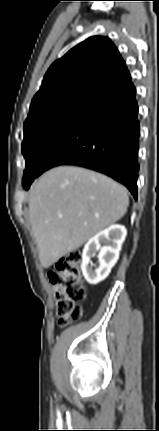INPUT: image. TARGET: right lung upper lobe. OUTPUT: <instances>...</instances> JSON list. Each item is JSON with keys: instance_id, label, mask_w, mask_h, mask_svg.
Returning a JSON list of instances; mask_svg holds the SVG:
<instances>
[{"instance_id": "1", "label": "right lung upper lobe", "mask_w": 159, "mask_h": 431, "mask_svg": "<svg viewBox=\"0 0 159 431\" xmlns=\"http://www.w3.org/2000/svg\"><path fill=\"white\" fill-rule=\"evenodd\" d=\"M134 92L130 73L112 41L90 37L50 66L24 125L60 112L90 116Z\"/></svg>"}]
</instances>
